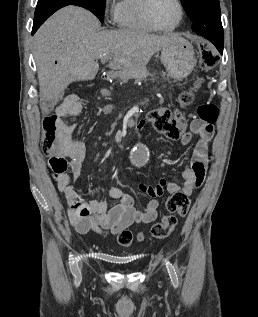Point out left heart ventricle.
Here are the masks:
<instances>
[{"label": "left heart ventricle", "mask_w": 258, "mask_h": 317, "mask_svg": "<svg viewBox=\"0 0 258 317\" xmlns=\"http://www.w3.org/2000/svg\"><path fill=\"white\" fill-rule=\"evenodd\" d=\"M153 22L161 28L173 26L179 17V8L175 0H156L151 8Z\"/></svg>", "instance_id": "1"}]
</instances>
